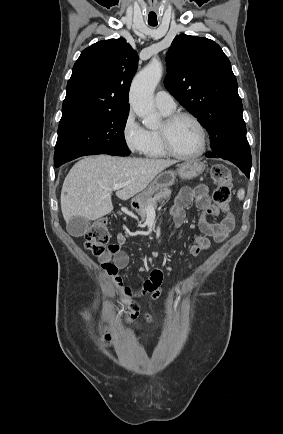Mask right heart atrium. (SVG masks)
Masks as SVG:
<instances>
[{"instance_id": "obj_1", "label": "right heart atrium", "mask_w": 283, "mask_h": 434, "mask_svg": "<svg viewBox=\"0 0 283 434\" xmlns=\"http://www.w3.org/2000/svg\"><path fill=\"white\" fill-rule=\"evenodd\" d=\"M121 134L123 141L132 153L141 154L144 152L148 134L147 130L137 120L133 110H129L122 124Z\"/></svg>"}]
</instances>
